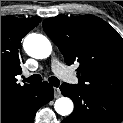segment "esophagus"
<instances>
[{
	"label": "esophagus",
	"instance_id": "esophagus-1",
	"mask_svg": "<svg viewBox=\"0 0 123 123\" xmlns=\"http://www.w3.org/2000/svg\"><path fill=\"white\" fill-rule=\"evenodd\" d=\"M61 95H62V94H61L60 89L55 87V88H54V97H55V98H59Z\"/></svg>",
	"mask_w": 123,
	"mask_h": 123
}]
</instances>
